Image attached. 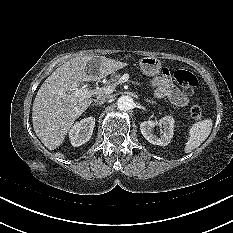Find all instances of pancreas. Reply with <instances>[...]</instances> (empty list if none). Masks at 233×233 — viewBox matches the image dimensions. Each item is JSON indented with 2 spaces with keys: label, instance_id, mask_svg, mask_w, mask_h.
Instances as JSON below:
<instances>
[{
  "label": "pancreas",
  "instance_id": "1",
  "mask_svg": "<svg viewBox=\"0 0 233 233\" xmlns=\"http://www.w3.org/2000/svg\"><path fill=\"white\" fill-rule=\"evenodd\" d=\"M119 75L115 74V75H112L111 78L109 79L108 81V84L109 85H114L116 86L118 84V79H119Z\"/></svg>",
  "mask_w": 233,
  "mask_h": 233
}]
</instances>
